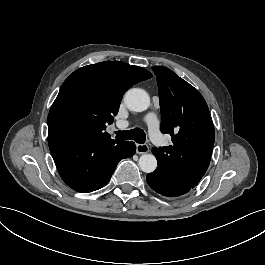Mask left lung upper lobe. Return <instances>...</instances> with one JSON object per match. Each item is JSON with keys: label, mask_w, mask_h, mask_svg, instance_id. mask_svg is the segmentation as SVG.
<instances>
[{"label": "left lung upper lobe", "mask_w": 265, "mask_h": 265, "mask_svg": "<svg viewBox=\"0 0 265 265\" xmlns=\"http://www.w3.org/2000/svg\"><path fill=\"white\" fill-rule=\"evenodd\" d=\"M158 82L161 131L173 144L152 148L158 166L195 187L210 164L215 131L208 106L192 85L172 70L152 67Z\"/></svg>", "instance_id": "5c2ea615"}]
</instances>
